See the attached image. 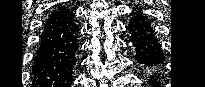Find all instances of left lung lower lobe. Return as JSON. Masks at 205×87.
<instances>
[{
  "label": "left lung lower lobe",
  "mask_w": 205,
  "mask_h": 87,
  "mask_svg": "<svg viewBox=\"0 0 205 87\" xmlns=\"http://www.w3.org/2000/svg\"><path fill=\"white\" fill-rule=\"evenodd\" d=\"M133 18L128 24L127 29L131 33V42L135 48L136 61L142 66L154 69L164 61L160 45L154 34L153 28L141 9L132 11ZM150 85H158L156 78L151 77Z\"/></svg>",
  "instance_id": "left-lung-lower-lobe-1"
}]
</instances>
